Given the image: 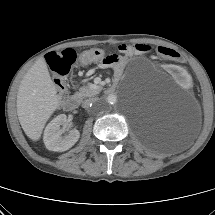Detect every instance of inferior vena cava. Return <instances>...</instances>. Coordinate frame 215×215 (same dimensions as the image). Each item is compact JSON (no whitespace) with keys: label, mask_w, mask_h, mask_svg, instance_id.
<instances>
[{"label":"inferior vena cava","mask_w":215,"mask_h":215,"mask_svg":"<svg viewBox=\"0 0 215 215\" xmlns=\"http://www.w3.org/2000/svg\"><path fill=\"white\" fill-rule=\"evenodd\" d=\"M91 104H93L95 106H98L99 105L98 99H96V98H94V99L93 98L92 99H86V100L83 101L82 106L84 108H88Z\"/></svg>","instance_id":"602c4592"}]
</instances>
